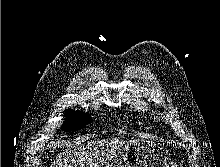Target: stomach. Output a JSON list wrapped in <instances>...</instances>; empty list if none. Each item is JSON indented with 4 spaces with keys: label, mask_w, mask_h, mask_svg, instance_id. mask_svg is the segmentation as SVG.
Segmentation results:
<instances>
[{
    "label": "stomach",
    "mask_w": 220,
    "mask_h": 167,
    "mask_svg": "<svg viewBox=\"0 0 220 167\" xmlns=\"http://www.w3.org/2000/svg\"><path fill=\"white\" fill-rule=\"evenodd\" d=\"M110 167H169L160 145L153 142H133L117 150Z\"/></svg>",
    "instance_id": "1"
}]
</instances>
